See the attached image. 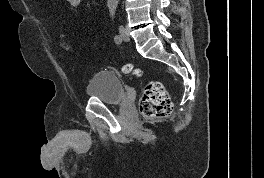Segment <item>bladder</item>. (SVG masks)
I'll return each instance as SVG.
<instances>
[{
    "instance_id": "obj_1",
    "label": "bladder",
    "mask_w": 264,
    "mask_h": 178,
    "mask_svg": "<svg viewBox=\"0 0 264 178\" xmlns=\"http://www.w3.org/2000/svg\"><path fill=\"white\" fill-rule=\"evenodd\" d=\"M86 95L108 105H119L124 102L125 88L113 72L100 70L88 81Z\"/></svg>"
}]
</instances>
